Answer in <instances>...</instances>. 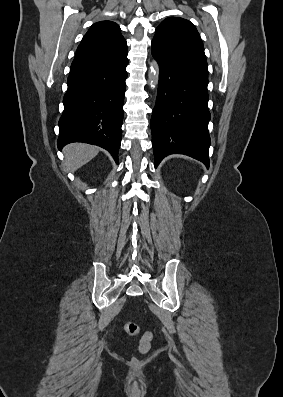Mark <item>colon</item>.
Instances as JSON below:
<instances>
[{
    "instance_id": "1",
    "label": "colon",
    "mask_w": 283,
    "mask_h": 397,
    "mask_svg": "<svg viewBox=\"0 0 283 397\" xmlns=\"http://www.w3.org/2000/svg\"><path fill=\"white\" fill-rule=\"evenodd\" d=\"M125 330L129 335H136L139 332V327L134 322H128L125 325ZM150 341H151V335L149 333H146L142 336L139 345L140 352L145 353L149 350Z\"/></svg>"
}]
</instances>
